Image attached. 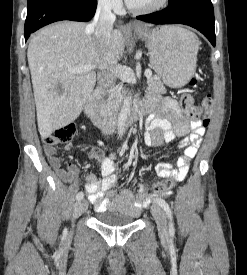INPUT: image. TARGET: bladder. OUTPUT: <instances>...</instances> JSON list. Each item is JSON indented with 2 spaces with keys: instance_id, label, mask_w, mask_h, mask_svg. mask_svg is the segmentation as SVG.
<instances>
[{
  "instance_id": "obj_1",
  "label": "bladder",
  "mask_w": 247,
  "mask_h": 275,
  "mask_svg": "<svg viewBox=\"0 0 247 275\" xmlns=\"http://www.w3.org/2000/svg\"><path fill=\"white\" fill-rule=\"evenodd\" d=\"M96 219L100 224L110 227L131 225L137 220L136 217L131 213L122 212L114 209L97 211Z\"/></svg>"
}]
</instances>
